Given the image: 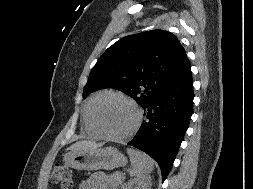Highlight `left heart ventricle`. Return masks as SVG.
<instances>
[{
	"label": "left heart ventricle",
	"mask_w": 253,
	"mask_h": 189,
	"mask_svg": "<svg viewBox=\"0 0 253 189\" xmlns=\"http://www.w3.org/2000/svg\"><path fill=\"white\" fill-rule=\"evenodd\" d=\"M95 115L100 126L109 134L123 135L135 122V111L117 97L102 98L96 105Z\"/></svg>",
	"instance_id": "obj_1"
}]
</instances>
